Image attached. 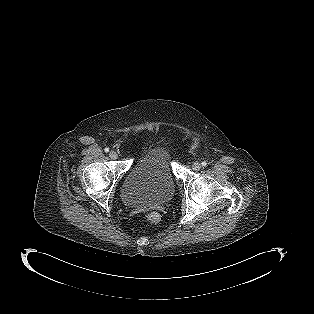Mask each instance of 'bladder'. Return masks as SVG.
<instances>
[{
    "mask_svg": "<svg viewBox=\"0 0 314 314\" xmlns=\"http://www.w3.org/2000/svg\"><path fill=\"white\" fill-rule=\"evenodd\" d=\"M175 191L171 155L162 146L142 153L126 175L121 197L131 208H155L170 201Z\"/></svg>",
    "mask_w": 314,
    "mask_h": 314,
    "instance_id": "obj_1",
    "label": "bladder"
}]
</instances>
